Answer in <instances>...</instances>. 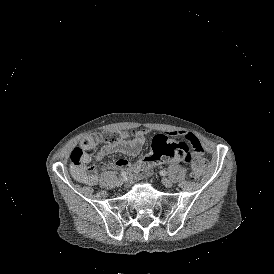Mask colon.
<instances>
[{"mask_svg":"<svg viewBox=\"0 0 274 274\" xmlns=\"http://www.w3.org/2000/svg\"><path fill=\"white\" fill-rule=\"evenodd\" d=\"M120 135L114 130H106L104 132L95 133L86 137L82 141V147L77 146L70 154V161L73 164H79L82 157L93 152L95 145L100 141H106L109 144H114L119 141ZM194 161L191 163L190 180L196 182L199 180V174L205 173L208 170L207 154L201 151V148H196Z\"/></svg>","mask_w":274,"mask_h":274,"instance_id":"colon-1","label":"colon"}]
</instances>
